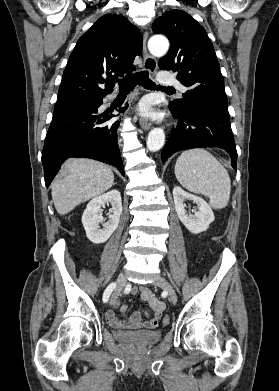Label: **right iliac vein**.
Segmentation results:
<instances>
[{
  "label": "right iliac vein",
  "mask_w": 279,
  "mask_h": 391,
  "mask_svg": "<svg viewBox=\"0 0 279 391\" xmlns=\"http://www.w3.org/2000/svg\"><path fill=\"white\" fill-rule=\"evenodd\" d=\"M125 284H126L125 275L123 273H121L117 278V287H116V289L110 299L111 305L117 300V298L121 294L123 288L125 287Z\"/></svg>",
  "instance_id": "63e3f726"
}]
</instances>
